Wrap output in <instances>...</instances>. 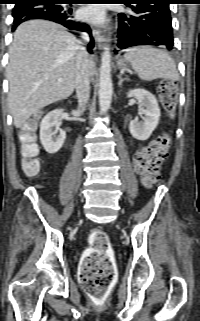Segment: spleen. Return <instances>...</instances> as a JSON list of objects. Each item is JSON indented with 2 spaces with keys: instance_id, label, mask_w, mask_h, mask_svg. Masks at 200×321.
Listing matches in <instances>:
<instances>
[{
  "instance_id": "1",
  "label": "spleen",
  "mask_w": 200,
  "mask_h": 321,
  "mask_svg": "<svg viewBox=\"0 0 200 321\" xmlns=\"http://www.w3.org/2000/svg\"><path fill=\"white\" fill-rule=\"evenodd\" d=\"M124 58L131 63L134 72L144 81L157 78L177 81L179 74L171 56L152 46H136L128 49Z\"/></svg>"
}]
</instances>
